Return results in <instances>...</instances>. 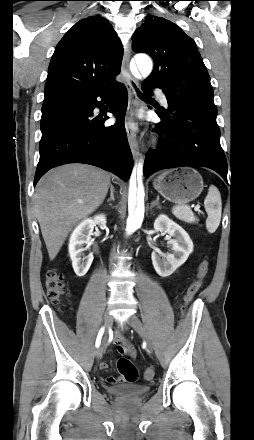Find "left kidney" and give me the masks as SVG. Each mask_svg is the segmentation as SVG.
Returning <instances> with one entry per match:
<instances>
[{"label":"left kidney","mask_w":254,"mask_h":440,"mask_svg":"<svg viewBox=\"0 0 254 440\" xmlns=\"http://www.w3.org/2000/svg\"><path fill=\"white\" fill-rule=\"evenodd\" d=\"M154 229L156 232H166L170 237L174 238L168 241L169 247L172 250L171 254L161 258V252L155 250L151 255L152 264L157 274L161 277H168L186 262L193 251V242L181 226L164 214L156 218Z\"/></svg>","instance_id":"left-kidney-1"}]
</instances>
